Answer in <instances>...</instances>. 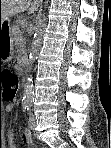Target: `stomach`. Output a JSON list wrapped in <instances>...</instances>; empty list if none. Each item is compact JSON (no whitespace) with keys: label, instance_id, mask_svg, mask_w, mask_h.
Instances as JSON below:
<instances>
[{"label":"stomach","instance_id":"obj_1","mask_svg":"<svg viewBox=\"0 0 111 148\" xmlns=\"http://www.w3.org/2000/svg\"><path fill=\"white\" fill-rule=\"evenodd\" d=\"M10 22H0V62H8L13 57V40L10 34Z\"/></svg>","mask_w":111,"mask_h":148}]
</instances>
